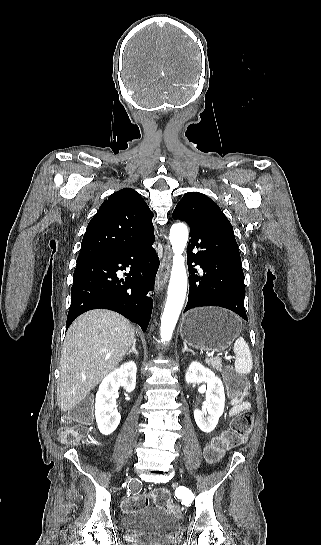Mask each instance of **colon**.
<instances>
[{"label": "colon", "mask_w": 321, "mask_h": 545, "mask_svg": "<svg viewBox=\"0 0 321 545\" xmlns=\"http://www.w3.org/2000/svg\"><path fill=\"white\" fill-rule=\"evenodd\" d=\"M224 379L230 395L234 398H243L249 394V385L247 380L236 374L233 369L228 368L225 371ZM69 418L74 422L73 425L63 427L58 439L62 444L78 445L87 433V427L92 419L91 404L84 401L69 410ZM252 415L249 411L238 413L231 421L229 431L217 437L206 449V458L209 461L217 460L224 451L239 446L245 441L251 431ZM151 498L162 509L177 514L178 507L172 501L170 494L165 489H156L151 494ZM149 504V497L146 495L128 496L122 501V509L125 512H132Z\"/></svg>", "instance_id": "colon-1"}]
</instances>
